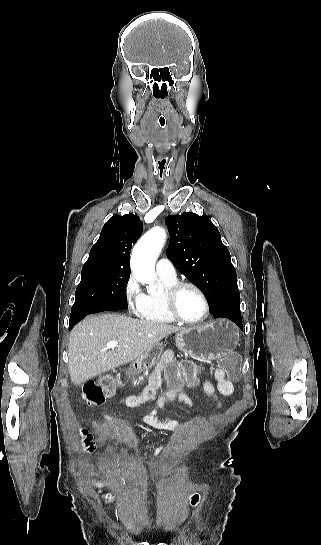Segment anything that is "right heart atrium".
<instances>
[{
    "label": "right heart atrium",
    "mask_w": 321,
    "mask_h": 545,
    "mask_svg": "<svg viewBox=\"0 0 321 545\" xmlns=\"http://www.w3.org/2000/svg\"><path fill=\"white\" fill-rule=\"evenodd\" d=\"M122 291L129 312L140 317L145 308L147 296L132 273L127 276Z\"/></svg>",
    "instance_id": "right-heart-atrium-1"
}]
</instances>
